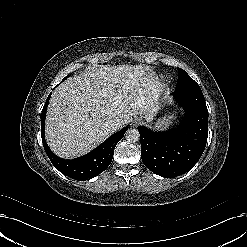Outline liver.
Masks as SVG:
<instances>
[{
	"instance_id": "6515ba94",
	"label": "liver",
	"mask_w": 247,
	"mask_h": 247,
	"mask_svg": "<svg viewBox=\"0 0 247 247\" xmlns=\"http://www.w3.org/2000/svg\"><path fill=\"white\" fill-rule=\"evenodd\" d=\"M159 95L160 85L140 65L93 66L53 92L46 141L61 158L82 156L115 132L105 127L106 122L118 120L121 128L132 116L152 120L159 109Z\"/></svg>"
}]
</instances>
